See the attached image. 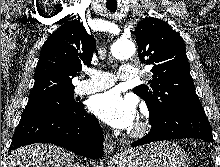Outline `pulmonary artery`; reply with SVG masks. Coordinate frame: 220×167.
<instances>
[{
  "mask_svg": "<svg viewBox=\"0 0 220 167\" xmlns=\"http://www.w3.org/2000/svg\"><path fill=\"white\" fill-rule=\"evenodd\" d=\"M139 74V70L131 64L123 63L120 66L117 78L109 72L102 70H90L89 79L83 81L78 88L80 94H92L110 88L118 80L134 79Z\"/></svg>",
  "mask_w": 220,
  "mask_h": 167,
  "instance_id": "e3ab8cb5",
  "label": "pulmonary artery"
}]
</instances>
